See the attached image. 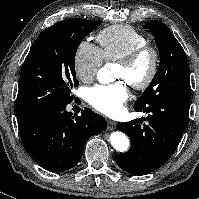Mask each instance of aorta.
I'll return each mask as SVG.
<instances>
[{"label":"aorta","instance_id":"obj_1","mask_svg":"<svg viewBox=\"0 0 199 199\" xmlns=\"http://www.w3.org/2000/svg\"><path fill=\"white\" fill-rule=\"evenodd\" d=\"M97 78L100 83H109L111 81V73L107 68H101L98 71ZM110 142L114 149L120 152H125L129 147L127 136L120 131L113 132L110 135Z\"/></svg>","mask_w":199,"mask_h":199}]
</instances>
